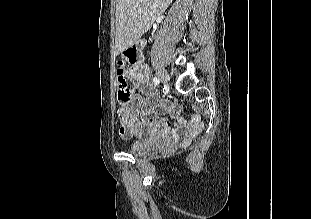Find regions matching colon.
<instances>
[{
	"instance_id": "obj_1",
	"label": "colon",
	"mask_w": 311,
	"mask_h": 219,
	"mask_svg": "<svg viewBox=\"0 0 311 219\" xmlns=\"http://www.w3.org/2000/svg\"><path fill=\"white\" fill-rule=\"evenodd\" d=\"M129 49L127 55L131 62L135 61L134 57L130 54ZM132 91L133 84L131 69H128L123 63H120L117 69V100L120 106L128 104L131 99Z\"/></svg>"
}]
</instances>
